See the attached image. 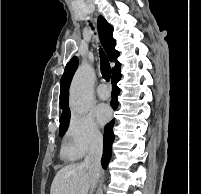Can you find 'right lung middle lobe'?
Segmentation results:
<instances>
[{
    "instance_id": "obj_1",
    "label": "right lung middle lobe",
    "mask_w": 201,
    "mask_h": 194,
    "mask_svg": "<svg viewBox=\"0 0 201 194\" xmlns=\"http://www.w3.org/2000/svg\"><path fill=\"white\" fill-rule=\"evenodd\" d=\"M69 120H70V116L60 119V129H59L60 136H63L64 133L66 132L69 125Z\"/></svg>"
}]
</instances>
